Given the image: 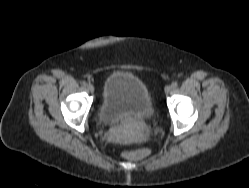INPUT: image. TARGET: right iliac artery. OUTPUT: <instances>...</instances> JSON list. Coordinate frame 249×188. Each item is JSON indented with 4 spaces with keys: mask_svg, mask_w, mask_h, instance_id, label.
I'll return each mask as SVG.
<instances>
[{
    "mask_svg": "<svg viewBox=\"0 0 249 188\" xmlns=\"http://www.w3.org/2000/svg\"><path fill=\"white\" fill-rule=\"evenodd\" d=\"M82 85L83 86H87V82L86 81H82Z\"/></svg>",
    "mask_w": 249,
    "mask_h": 188,
    "instance_id": "obj_1",
    "label": "right iliac artery"
}]
</instances>
